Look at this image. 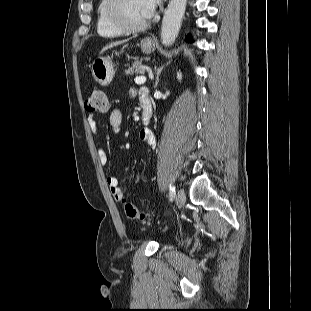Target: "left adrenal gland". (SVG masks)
Masks as SVG:
<instances>
[{
  "label": "left adrenal gland",
  "mask_w": 311,
  "mask_h": 311,
  "mask_svg": "<svg viewBox=\"0 0 311 311\" xmlns=\"http://www.w3.org/2000/svg\"><path fill=\"white\" fill-rule=\"evenodd\" d=\"M163 67H160V68H157L156 66L154 67V70H155V73H156V81H155V85H154V88L157 87L158 83H159V76L161 74V71L163 70Z\"/></svg>",
  "instance_id": "a2214340"
}]
</instances>
